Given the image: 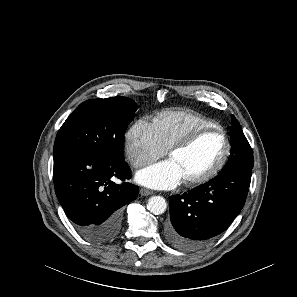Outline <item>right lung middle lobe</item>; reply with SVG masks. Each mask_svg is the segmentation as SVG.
Returning <instances> with one entry per match:
<instances>
[{
    "instance_id": "1",
    "label": "right lung middle lobe",
    "mask_w": 297,
    "mask_h": 297,
    "mask_svg": "<svg viewBox=\"0 0 297 297\" xmlns=\"http://www.w3.org/2000/svg\"><path fill=\"white\" fill-rule=\"evenodd\" d=\"M137 104L127 97L83 102L59 129L53 151H89L123 161L124 134Z\"/></svg>"
}]
</instances>
